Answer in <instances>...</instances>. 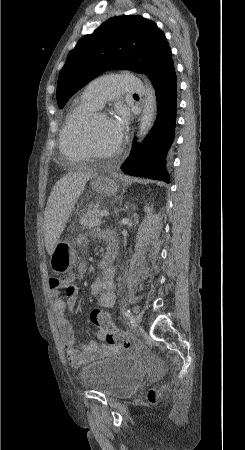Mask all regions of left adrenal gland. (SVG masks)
<instances>
[{
  "label": "left adrenal gland",
  "mask_w": 245,
  "mask_h": 450,
  "mask_svg": "<svg viewBox=\"0 0 245 450\" xmlns=\"http://www.w3.org/2000/svg\"><path fill=\"white\" fill-rule=\"evenodd\" d=\"M125 210H128V206H125Z\"/></svg>",
  "instance_id": "left-adrenal-gland-1"
}]
</instances>
